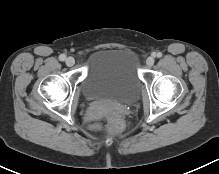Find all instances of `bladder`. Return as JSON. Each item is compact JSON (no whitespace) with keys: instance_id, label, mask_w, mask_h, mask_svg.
I'll use <instances>...</instances> for the list:
<instances>
[{"instance_id":"31cf9c89","label":"bladder","mask_w":219,"mask_h":174,"mask_svg":"<svg viewBox=\"0 0 219 174\" xmlns=\"http://www.w3.org/2000/svg\"><path fill=\"white\" fill-rule=\"evenodd\" d=\"M135 53L124 48H105L92 53L81 84V93L89 101H135L141 90Z\"/></svg>"}]
</instances>
